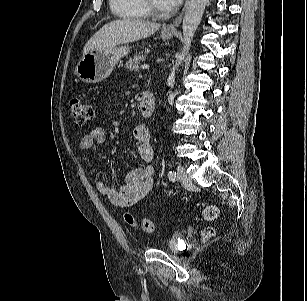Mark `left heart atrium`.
Instances as JSON below:
<instances>
[{"instance_id": "39dd6f15", "label": "left heart atrium", "mask_w": 307, "mask_h": 301, "mask_svg": "<svg viewBox=\"0 0 307 301\" xmlns=\"http://www.w3.org/2000/svg\"><path fill=\"white\" fill-rule=\"evenodd\" d=\"M158 2L167 10L178 6L181 0H158Z\"/></svg>"}]
</instances>
